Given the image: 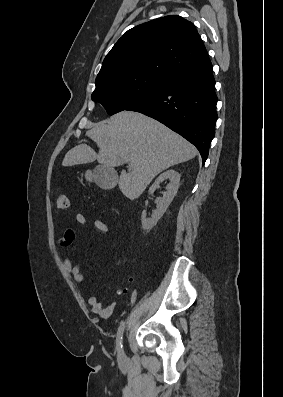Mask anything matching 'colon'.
<instances>
[{
  "label": "colon",
  "mask_w": 283,
  "mask_h": 397,
  "mask_svg": "<svg viewBox=\"0 0 283 397\" xmlns=\"http://www.w3.org/2000/svg\"><path fill=\"white\" fill-rule=\"evenodd\" d=\"M69 206V199L65 194L59 193L55 197V207L59 210H65Z\"/></svg>",
  "instance_id": "obj_1"
}]
</instances>
